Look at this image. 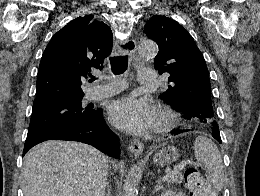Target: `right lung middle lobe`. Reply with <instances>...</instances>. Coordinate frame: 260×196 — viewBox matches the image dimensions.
Wrapping results in <instances>:
<instances>
[{"mask_svg": "<svg viewBox=\"0 0 260 196\" xmlns=\"http://www.w3.org/2000/svg\"><path fill=\"white\" fill-rule=\"evenodd\" d=\"M83 95L64 96L33 105V113L26 139L82 124L94 116V110L83 107Z\"/></svg>", "mask_w": 260, "mask_h": 196, "instance_id": "right-lung-middle-lobe-1", "label": "right lung middle lobe"}]
</instances>
